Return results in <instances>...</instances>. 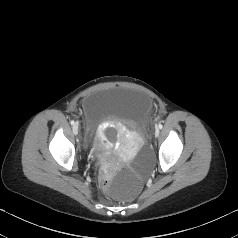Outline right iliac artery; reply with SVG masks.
Instances as JSON below:
<instances>
[{
	"instance_id": "obj_1",
	"label": "right iliac artery",
	"mask_w": 238,
	"mask_h": 238,
	"mask_svg": "<svg viewBox=\"0 0 238 238\" xmlns=\"http://www.w3.org/2000/svg\"><path fill=\"white\" fill-rule=\"evenodd\" d=\"M70 124H71V125H73V124H74V121H73V120H72V121H70Z\"/></svg>"
}]
</instances>
